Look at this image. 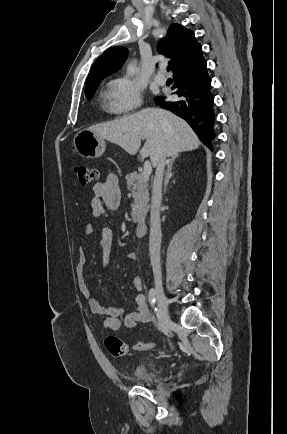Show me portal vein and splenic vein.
Here are the masks:
<instances>
[{
  "mask_svg": "<svg viewBox=\"0 0 287 434\" xmlns=\"http://www.w3.org/2000/svg\"><path fill=\"white\" fill-rule=\"evenodd\" d=\"M152 173V166H151V164H150V162L149 161H145V163H144V170H143V177H144V179H148L149 178V176H150V174Z\"/></svg>",
  "mask_w": 287,
  "mask_h": 434,
  "instance_id": "1",
  "label": "portal vein and splenic vein"
}]
</instances>
